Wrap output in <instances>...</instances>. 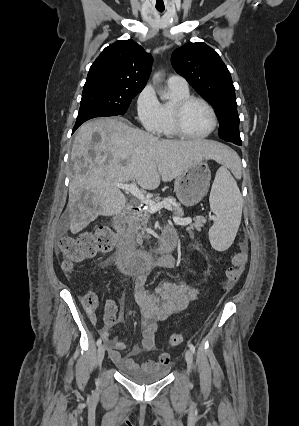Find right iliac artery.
Wrapping results in <instances>:
<instances>
[{
	"instance_id": "82829eb1",
	"label": "right iliac artery",
	"mask_w": 299,
	"mask_h": 426,
	"mask_svg": "<svg viewBox=\"0 0 299 426\" xmlns=\"http://www.w3.org/2000/svg\"><path fill=\"white\" fill-rule=\"evenodd\" d=\"M101 343H102V340H101V338H99L98 340H97V346H100L101 345Z\"/></svg>"
}]
</instances>
